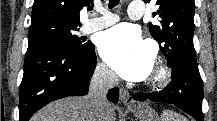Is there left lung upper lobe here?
I'll use <instances>...</instances> for the list:
<instances>
[{
	"instance_id": "5c2ea615",
	"label": "left lung upper lobe",
	"mask_w": 217,
	"mask_h": 121,
	"mask_svg": "<svg viewBox=\"0 0 217 121\" xmlns=\"http://www.w3.org/2000/svg\"><path fill=\"white\" fill-rule=\"evenodd\" d=\"M156 4L159 10L153 16H159L161 25L149 23V30L169 65L179 61L197 65L193 45L194 0H156Z\"/></svg>"
}]
</instances>
